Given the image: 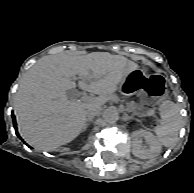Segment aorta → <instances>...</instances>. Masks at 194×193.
Segmentation results:
<instances>
[{
    "label": "aorta",
    "instance_id": "aorta-1",
    "mask_svg": "<svg viewBox=\"0 0 194 193\" xmlns=\"http://www.w3.org/2000/svg\"><path fill=\"white\" fill-rule=\"evenodd\" d=\"M103 117L107 123L114 124L119 120L120 115H119V112L117 109L111 108V109H108L107 111H105Z\"/></svg>",
    "mask_w": 194,
    "mask_h": 193
}]
</instances>
